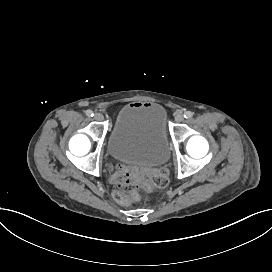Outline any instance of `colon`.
<instances>
[{"label": "colon", "mask_w": 272, "mask_h": 272, "mask_svg": "<svg viewBox=\"0 0 272 272\" xmlns=\"http://www.w3.org/2000/svg\"><path fill=\"white\" fill-rule=\"evenodd\" d=\"M111 174L116 185L115 199L121 205L132 202L133 198L140 202L146 201L150 195L147 187L151 183L156 187L165 186L169 178V173L166 170L157 169L151 175L152 182L143 186L138 182L141 178L140 175L128 171L126 165L122 163L113 165Z\"/></svg>", "instance_id": "obj_1"}]
</instances>
